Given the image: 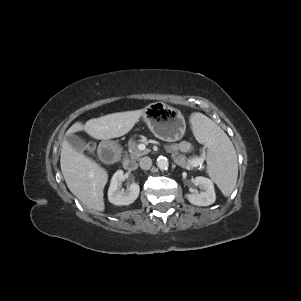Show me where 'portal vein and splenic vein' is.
<instances>
[{"mask_svg":"<svg viewBox=\"0 0 301 301\" xmlns=\"http://www.w3.org/2000/svg\"><path fill=\"white\" fill-rule=\"evenodd\" d=\"M204 159H205V154L203 153V155L201 157H199V159L194 162V167H197L200 164H202V162L204 161Z\"/></svg>","mask_w":301,"mask_h":301,"instance_id":"obj_1","label":"portal vein and splenic vein"}]
</instances>
